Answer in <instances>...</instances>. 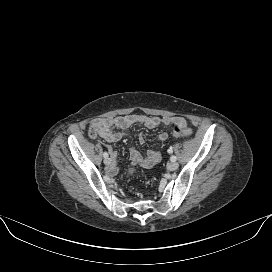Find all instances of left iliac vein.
I'll return each mask as SVG.
<instances>
[{"label": "left iliac vein", "instance_id": "4c4485c4", "mask_svg": "<svg viewBox=\"0 0 272 272\" xmlns=\"http://www.w3.org/2000/svg\"><path fill=\"white\" fill-rule=\"evenodd\" d=\"M178 168V163L177 162H169L167 164V169L169 171H175Z\"/></svg>", "mask_w": 272, "mask_h": 272}]
</instances>
